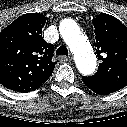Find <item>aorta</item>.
Instances as JSON below:
<instances>
[{"mask_svg":"<svg viewBox=\"0 0 127 127\" xmlns=\"http://www.w3.org/2000/svg\"><path fill=\"white\" fill-rule=\"evenodd\" d=\"M60 33L74 54L75 63L83 75H91L96 69V56L89 40L81 33L77 23L66 19L60 24Z\"/></svg>","mask_w":127,"mask_h":127,"instance_id":"1","label":"aorta"}]
</instances>
